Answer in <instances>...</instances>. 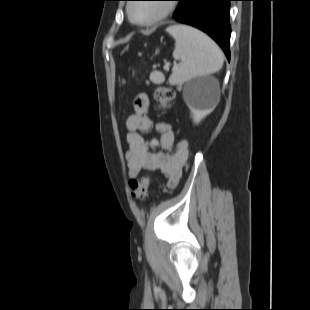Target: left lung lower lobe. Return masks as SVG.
<instances>
[{
  "label": "left lung lower lobe",
  "instance_id": "obj_1",
  "mask_svg": "<svg viewBox=\"0 0 310 310\" xmlns=\"http://www.w3.org/2000/svg\"><path fill=\"white\" fill-rule=\"evenodd\" d=\"M230 1L234 0H186L182 10L173 19L207 33L230 60Z\"/></svg>",
  "mask_w": 310,
  "mask_h": 310
}]
</instances>
